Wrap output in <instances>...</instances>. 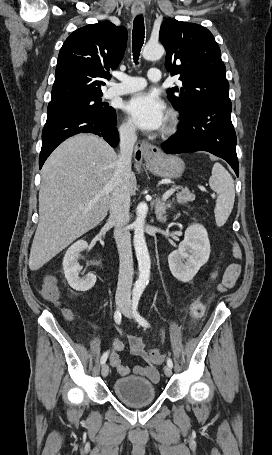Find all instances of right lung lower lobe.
<instances>
[{
    "label": "right lung lower lobe",
    "instance_id": "right-lung-lower-lobe-1",
    "mask_svg": "<svg viewBox=\"0 0 272 455\" xmlns=\"http://www.w3.org/2000/svg\"><path fill=\"white\" fill-rule=\"evenodd\" d=\"M116 112L112 117L95 114H66L47 119L42 131V148L39 156L41 169L51 152L65 139L78 133H92L103 137L111 146L119 140Z\"/></svg>",
    "mask_w": 272,
    "mask_h": 455
}]
</instances>
